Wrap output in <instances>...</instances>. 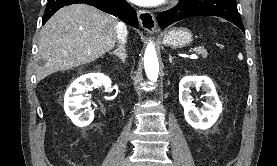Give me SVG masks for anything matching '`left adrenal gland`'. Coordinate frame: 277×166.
<instances>
[{
    "label": "left adrenal gland",
    "mask_w": 277,
    "mask_h": 166,
    "mask_svg": "<svg viewBox=\"0 0 277 166\" xmlns=\"http://www.w3.org/2000/svg\"><path fill=\"white\" fill-rule=\"evenodd\" d=\"M172 60H173V57L171 55H169V61L171 64L173 63Z\"/></svg>",
    "instance_id": "a2214340"
}]
</instances>
